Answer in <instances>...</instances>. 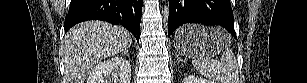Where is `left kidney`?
<instances>
[{
    "mask_svg": "<svg viewBox=\"0 0 307 83\" xmlns=\"http://www.w3.org/2000/svg\"><path fill=\"white\" fill-rule=\"evenodd\" d=\"M182 83H212L211 81L193 75L185 76Z\"/></svg>",
    "mask_w": 307,
    "mask_h": 83,
    "instance_id": "5707ae66",
    "label": "left kidney"
}]
</instances>
